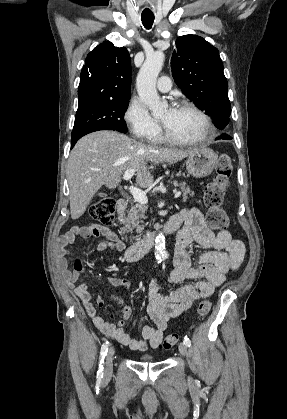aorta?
Instances as JSON below:
<instances>
[{"instance_id": "1", "label": "aorta", "mask_w": 287, "mask_h": 419, "mask_svg": "<svg viewBox=\"0 0 287 419\" xmlns=\"http://www.w3.org/2000/svg\"><path fill=\"white\" fill-rule=\"evenodd\" d=\"M165 55L162 51H155L149 54L136 80V87L141 101L152 111L154 116L160 115L163 112V104L156 89V81L159 72L162 69ZM168 253L165 248V237L159 233L155 239V258L158 263L167 259Z\"/></svg>"}]
</instances>
